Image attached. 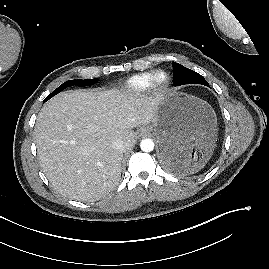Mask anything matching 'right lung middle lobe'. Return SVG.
<instances>
[{
    "label": "right lung middle lobe",
    "mask_w": 269,
    "mask_h": 269,
    "mask_svg": "<svg viewBox=\"0 0 269 269\" xmlns=\"http://www.w3.org/2000/svg\"><path fill=\"white\" fill-rule=\"evenodd\" d=\"M98 79H89V80H68L67 82H64L62 85H60L55 91H53L51 94H49L44 102L48 101L51 97L54 95L60 93L62 90H64L67 87L78 85V86H89L96 83Z\"/></svg>",
    "instance_id": "right-lung-middle-lobe-1"
}]
</instances>
